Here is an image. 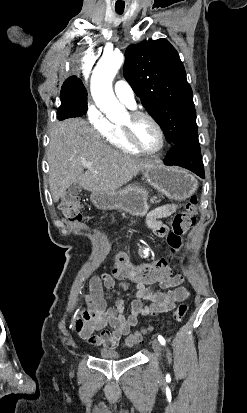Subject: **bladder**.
Here are the masks:
<instances>
[{
	"mask_svg": "<svg viewBox=\"0 0 247 413\" xmlns=\"http://www.w3.org/2000/svg\"><path fill=\"white\" fill-rule=\"evenodd\" d=\"M99 357L107 359H121V355L112 349H101L99 352Z\"/></svg>",
	"mask_w": 247,
	"mask_h": 413,
	"instance_id": "1",
	"label": "bladder"
}]
</instances>
